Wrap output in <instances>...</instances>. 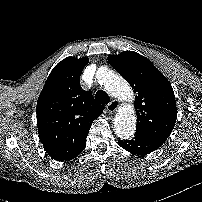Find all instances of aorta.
I'll list each match as a JSON object with an SVG mask.
<instances>
[{
	"mask_svg": "<svg viewBox=\"0 0 202 202\" xmlns=\"http://www.w3.org/2000/svg\"><path fill=\"white\" fill-rule=\"evenodd\" d=\"M97 78L104 85L105 89L121 101H131L133 90L130 85L120 76L107 71L101 67L97 71ZM136 128L135 111L131 106L118 111L114 120V131L121 139H128L133 136Z\"/></svg>",
	"mask_w": 202,
	"mask_h": 202,
	"instance_id": "aorta-1",
	"label": "aorta"
}]
</instances>
